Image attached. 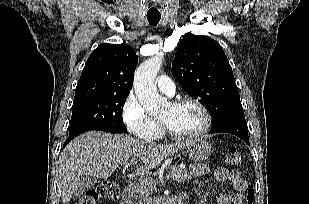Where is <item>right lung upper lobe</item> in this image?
I'll return each instance as SVG.
<instances>
[{"label": "right lung upper lobe", "instance_id": "right-lung-upper-lobe-1", "mask_svg": "<svg viewBox=\"0 0 309 204\" xmlns=\"http://www.w3.org/2000/svg\"><path fill=\"white\" fill-rule=\"evenodd\" d=\"M138 63L126 44H101L89 56L76 87L74 103L107 95H128Z\"/></svg>", "mask_w": 309, "mask_h": 204}]
</instances>
